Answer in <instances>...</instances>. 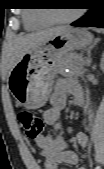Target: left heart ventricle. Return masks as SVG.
Returning a JSON list of instances; mask_svg holds the SVG:
<instances>
[{"mask_svg":"<svg viewBox=\"0 0 104 169\" xmlns=\"http://www.w3.org/2000/svg\"><path fill=\"white\" fill-rule=\"evenodd\" d=\"M72 13H73L72 9L57 10V11H54V16L58 18H65V17H69L70 15H72Z\"/></svg>","mask_w":104,"mask_h":169,"instance_id":"left-heart-ventricle-1","label":"left heart ventricle"}]
</instances>
